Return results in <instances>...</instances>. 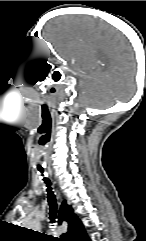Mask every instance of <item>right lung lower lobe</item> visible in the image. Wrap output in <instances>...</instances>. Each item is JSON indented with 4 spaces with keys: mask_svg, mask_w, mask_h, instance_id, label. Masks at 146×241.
<instances>
[{
    "mask_svg": "<svg viewBox=\"0 0 146 241\" xmlns=\"http://www.w3.org/2000/svg\"><path fill=\"white\" fill-rule=\"evenodd\" d=\"M85 241H90V239L87 237V238L85 239Z\"/></svg>",
    "mask_w": 146,
    "mask_h": 241,
    "instance_id": "right-lung-lower-lobe-1",
    "label": "right lung lower lobe"
}]
</instances>
